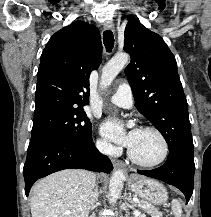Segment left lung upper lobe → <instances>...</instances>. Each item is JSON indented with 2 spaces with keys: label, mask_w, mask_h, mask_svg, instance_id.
I'll return each mask as SVG.
<instances>
[{
  "label": "left lung upper lobe",
  "mask_w": 211,
  "mask_h": 217,
  "mask_svg": "<svg viewBox=\"0 0 211 217\" xmlns=\"http://www.w3.org/2000/svg\"><path fill=\"white\" fill-rule=\"evenodd\" d=\"M124 51L131 62L125 69L137 110L163 135L169 152H193L188 104L174 55L164 40L128 17Z\"/></svg>",
  "instance_id": "5c2ea615"
}]
</instances>
